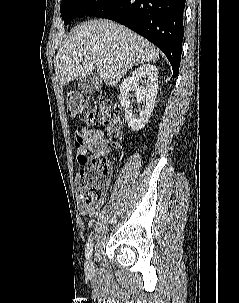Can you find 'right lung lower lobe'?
I'll list each match as a JSON object with an SVG mask.
<instances>
[{
  "instance_id": "1",
  "label": "right lung lower lobe",
  "mask_w": 239,
  "mask_h": 303,
  "mask_svg": "<svg viewBox=\"0 0 239 303\" xmlns=\"http://www.w3.org/2000/svg\"><path fill=\"white\" fill-rule=\"evenodd\" d=\"M186 0H106L88 15L119 22L159 47L179 72Z\"/></svg>"
}]
</instances>
